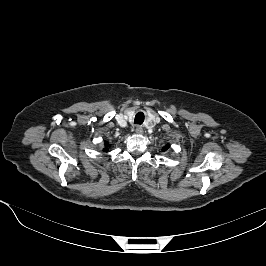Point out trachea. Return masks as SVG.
Segmentation results:
<instances>
[{
    "instance_id": "trachea-1",
    "label": "trachea",
    "mask_w": 266,
    "mask_h": 266,
    "mask_svg": "<svg viewBox=\"0 0 266 266\" xmlns=\"http://www.w3.org/2000/svg\"><path fill=\"white\" fill-rule=\"evenodd\" d=\"M144 121V114L142 112H139L136 114L134 123L141 125Z\"/></svg>"
}]
</instances>
